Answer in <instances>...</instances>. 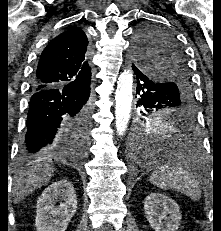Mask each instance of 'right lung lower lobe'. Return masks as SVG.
<instances>
[{
    "mask_svg": "<svg viewBox=\"0 0 221 231\" xmlns=\"http://www.w3.org/2000/svg\"><path fill=\"white\" fill-rule=\"evenodd\" d=\"M90 108V81L33 91L27 129L20 145L25 161L85 155V143L72 133L70 122Z\"/></svg>",
    "mask_w": 221,
    "mask_h": 231,
    "instance_id": "98d812e1",
    "label": "right lung lower lobe"
}]
</instances>
